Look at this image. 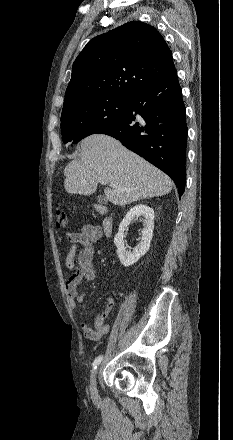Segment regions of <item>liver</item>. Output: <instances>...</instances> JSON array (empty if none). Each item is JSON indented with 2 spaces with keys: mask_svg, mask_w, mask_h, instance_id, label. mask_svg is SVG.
<instances>
[{
  "mask_svg": "<svg viewBox=\"0 0 233 440\" xmlns=\"http://www.w3.org/2000/svg\"><path fill=\"white\" fill-rule=\"evenodd\" d=\"M80 145V160L64 169L68 193L91 195L98 183L114 184L116 188H105V195L112 204L124 206L172 190V180L165 173L111 136L93 134Z\"/></svg>",
  "mask_w": 233,
  "mask_h": 440,
  "instance_id": "1",
  "label": "liver"
}]
</instances>
